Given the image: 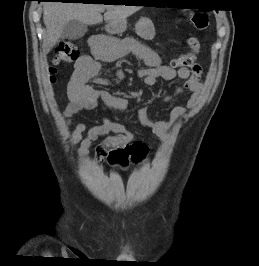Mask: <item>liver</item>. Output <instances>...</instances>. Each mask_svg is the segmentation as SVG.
Masks as SVG:
<instances>
[{
    "instance_id": "6515ba94",
    "label": "liver",
    "mask_w": 259,
    "mask_h": 266,
    "mask_svg": "<svg viewBox=\"0 0 259 266\" xmlns=\"http://www.w3.org/2000/svg\"><path fill=\"white\" fill-rule=\"evenodd\" d=\"M104 20L108 23L106 29L115 22L124 21L127 17L140 10L139 6L103 5L83 3L48 2L43 5V21L46 26L44 52L48 53L58 42L63 27L71 20L80 21L86 25H96Z\"/></svg>"
}]
</instances>
